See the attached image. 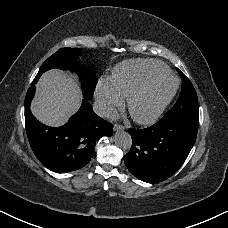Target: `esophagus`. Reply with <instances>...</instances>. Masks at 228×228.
<instances>
[{
  "mask_svg": "<svg viewBox=\"0 0 228 228\" xmlns=\"http://www.w3.org/2000/svg\"><path fill=\"white\" fill-rule=\"evenodd\" d=\"M114 131H122L124 130V126L123 125H117L115 124L114 127H113Z\"/></svg>",
  "mask_w": 228,
  "mask_h": 228,
  "instance_id": "obj_1",
  "label": "esophagus"
}]
</instances>
